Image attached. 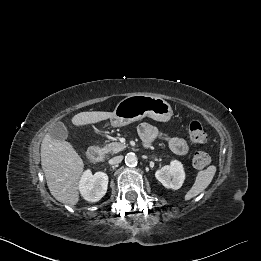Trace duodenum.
<instances>
[{
    "mask_svg": "<svg viewBox=\"0 0 261 261\" xmlns=\"http://www.w3.org/2000/svg\"><path fill=\"white\" fill-rule=\"evenodd\" d=\"M87 157L91 162L97 163L103 158V151L97 145L91 146L87 152Z\"/></svg>",
    "mask_w": 261,
    "mask_h": 261,
    "instance_id": "410a0bca",
    "label": "duodenum"
}]
</instances>
